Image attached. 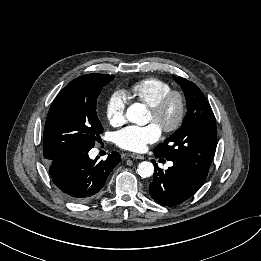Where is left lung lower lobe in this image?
Listing matches in <instances>:
<instances>
[{
    "instance_id": "0a47b994",
    "label": "left lung lower lobe",
    "mask_w": 261,
    "mask_h": 261,
    "mask_svg": "<svg viewBox=\"0 0 261 261\" xmlns=\"http://www.w3.org/2000/svg\"><path fill=\"white\" fill-rule=\"evenodd\" d=\"M156 157H160L155 154ZM154 162V180L149 184V194L159 204L173 207L192 197L202 186L207 176L192 171L182 163L163 171Z\"/></svg>"
}]
</instances>
